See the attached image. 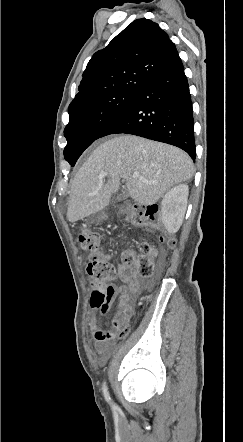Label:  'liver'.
Segmentation results:
<instances>
[{"mask_svg": "<svg viewBox=\"0 0 243 442\" xmlns=\"http://www.w3.org/2000/svg\"><path fill=\"white\" fill-rule=\"evenodd\" d=\"M101 172L107 173L105 184L98 178ZM134 172L140 178H133ZM193 174L191 158L177 147L133 135L115 136L98 146L75 175L67 218L76 222L103 210L121 179L130 197L147 206Z\"/></svg>", "mask_w": 243, "mask_h": 442, "instance_id": "1", "label": "liver"}]
</instances>
